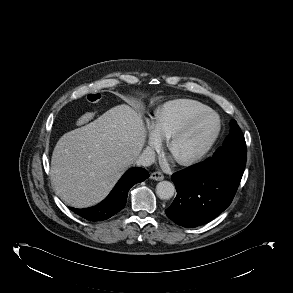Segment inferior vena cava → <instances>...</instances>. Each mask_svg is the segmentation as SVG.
I'll return each mask as SVG.
<instances>
[{
	"label": "inferior vena cava",
	"mask_w": 293,
	"mask_h": 293,
	"mask_svg": "<svg viewBox=\"0 0 293 293\" xmlns=\"http://www.w3.org/2000/svg\"><path fill=\"white\" fill-rule=\"evenodd\" d=\"M155 162V151L151 148H146L135 160L137 166H150Z\"/></svg>",
	"instance_id": "1"
}]
</instances>
